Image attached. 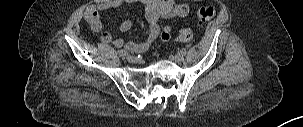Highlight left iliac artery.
Segmentation results:
<instances>
[{
    "instance_id": "1",
    "label": "left iliac artery",
    "mask_w": 303,
    "mask_h": 127,
    "mask_svg": "<svg viewBox=\"0 0 303 127\" xmlns=\"http://www.w3.org/2000/svg\"><path fill=\"white\" fill-rule=\"evenodd\" d=\"M186 50L185 49H181L179 52H178V54L179 55H182V56H185L186 55Z\"/></svg>"
}]
</instances>
